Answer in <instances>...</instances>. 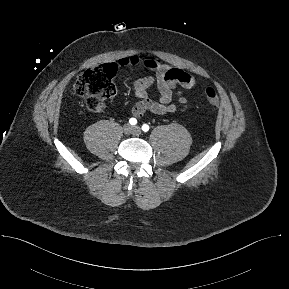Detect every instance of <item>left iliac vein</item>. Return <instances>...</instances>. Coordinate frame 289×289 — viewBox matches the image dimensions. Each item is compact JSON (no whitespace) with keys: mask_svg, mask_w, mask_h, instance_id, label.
<instances>
[{"mask_svg":"<svg viewBox=\"0 0 289 289\" xmlns=\"http://www.w3.org/2000/svg\"><path fill=\"white\" fill-rule=\"evenodd\" d=\"M133 131H134V133H135V134H137V135H138V134H140V132H141V129H140V127H139V126H134V127H133Z\"/></svg>","mask_w":289,"mask_h":289,"instance_id":"1","label":"left iliac vein"}]
</instances>
